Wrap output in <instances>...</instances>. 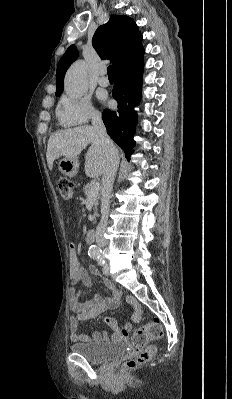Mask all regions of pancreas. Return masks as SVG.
I'll list each match as a JSON object with an SVG mask.
<instances>
[{"label": "pancreas", "instance_id": "1", "mask_svg": "<svg viewBox=\"0 0 232 399\" xmlns=\"http://www.w3.org/2000/svg\"><path fill=\"white\" fill-rule=\"evenodd\" d=\"M92 186H94V184H86V186H84V188H83L84 194H85V196H87V198H89V196H92V194H90V190H91ZM92 200L95 201L94 205H95V209H97L98 200H100V194H95V196H93ZM95 213L97 215V211H95Z\"/></svg>", "mask_w": 232, "mask_h": 399}]
</instances>
